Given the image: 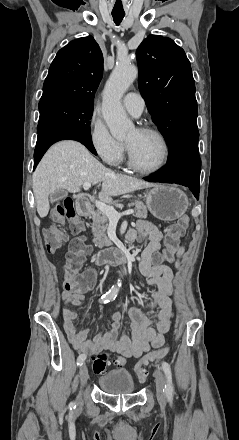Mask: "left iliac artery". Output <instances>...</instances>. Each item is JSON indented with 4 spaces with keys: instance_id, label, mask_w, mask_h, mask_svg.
Returning a JSON list of instances; mask_svg holds the SVG:
<instances>
[{
    "instance_id": "44dca946",
    "label": "left iliac artery",
    "mask_w": 239,
    "mask_h": 440,
    "mask_svg": "<svg viewBox=\"0 0 239 440\" xmlns=\"http://www.w3.org/2000/svg\"><path fill=\"white\" fill-rule=\"evenodd\" d=\"M162 369L166 377L165 393L167 398L171 401L173 399V383L170 365L164 361L162 363Z\"/></svg>"
}]
</instances>
